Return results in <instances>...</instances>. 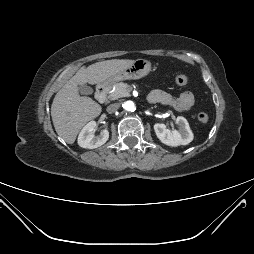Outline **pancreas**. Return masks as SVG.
<instances>
[{"label": "pancreas", "instance_id": "cf45deb5", "mask_svg": "<svg viewBox=\"0 0 254 254\" xmlns=\"http://www.w3.org/2000/svg\"><path fill=\"white\" fill-rule=\"evenodd\" d=\"M132 90V87L127 83H116L113 85V88L108 94V98L110 100H117L122 97H128L130 96V92Z\"/></svg>", "mask_w": 254, "mask_h": 254}]
</instances>
